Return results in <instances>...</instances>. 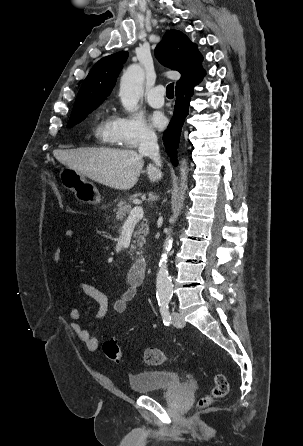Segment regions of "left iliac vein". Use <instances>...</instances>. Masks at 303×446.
I'll list each match as a JSON object with an SVG mask.
<instances>
[{
    "mask_svg": "<svg viewBox=\"0 0 303 446\" xmlns=\"http://www.w3.org/2000/svg\"><path fill=\"white\" fill-rule=\"evenodd\" d=\"M171 317H172L173 325L175 327L182 328L185 326V321H184L183 317L181 316V314H179L178 312L173 311L171 313Z\"/></svg>",
    "mask_w": 303,
    "mask_h": 446,
    "instance_id": "obj_1",
    "label": "left iliac vein"
}]
</instances>
